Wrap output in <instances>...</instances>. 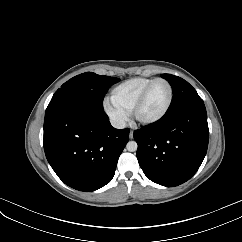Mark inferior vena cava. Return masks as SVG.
Here are the masks:
<instances>
[{
  "instance_id": "1",
  "label": "inferior vena cava",
  "mask_w": 242,
  "mask_h": 242,
  "mask_svg": "<svg viewBox=\"0 0 242 242\" xmlns=\"http://www.w3.org/2000/svg\"><path fill=\"white\" fill-rule=\"evenodd\" d=\"M111 125L114 128H117V129H123L126 126L124 120H122V119H112L111 120Z\"/></svg>"
}]
</instances>
